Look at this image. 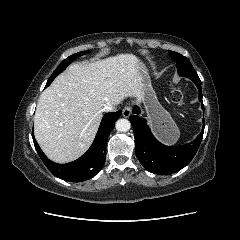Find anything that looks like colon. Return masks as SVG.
<instances>
[{"label": "colon", "instance_id": "colon-1", "mask_svg": "<svg viewBox=\"0 0 240 240\" xmlns=\"http://www.w3.org/2000/svg\"><path fill=\"white\" fill-rule=\"evenodd\" d=\"M170 97H171V100L175 104L182 107L183 109H187V107L185 105V101H184V93L180 88H178L176 86H172L171 92H170Z\"/></svg>", "mask_w": 240, "mask_h": 240}]
</instances>
